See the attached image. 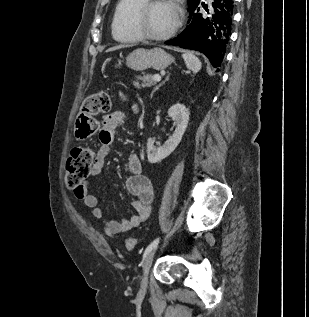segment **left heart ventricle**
Segmentation results:
<instances>
[{"mask_svg": "<svg viewBox=\"0 0 309 317\" xmlns=\"http://www.w3.org/2000/svg\"><path fill=\"white\" fill-rule=\"evenodd\" d=\"M177 11L170 2H161L153 6L145 18L146 29L155 35L167 33L175 25Z\"/></svg>", "mask_w": 309, "mask_h": 317, "instance_id": "obj_1", "label": "left heart ventricle"}]
</instances>
